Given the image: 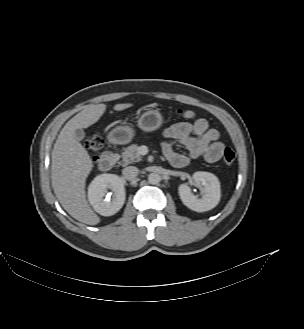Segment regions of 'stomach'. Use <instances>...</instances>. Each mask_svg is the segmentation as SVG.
<instances>
[{
    "mask_svg": "<svg viewBox=\"0 0 304 329\" xmlns=\"http://www.w3.org/2000/svg\"><path fill=\"white\" fill-rule=\"evenodd\" d=\"M163 124V116L159 110L148 109L141 114L137 126L145 132H153ZM135 130L129 125H119L112 129L107 139L112 144H127L132 141Z\"/></svg>",
    "mask_w": 304,
    "mask_h": 329,
    "instance_id": "0dacf381",
    "label": "stomach"
}]
</instances>
